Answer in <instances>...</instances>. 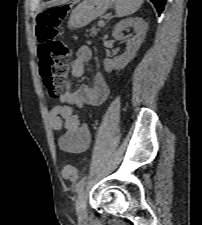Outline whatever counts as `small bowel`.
Returning a JSON list of instances; mask_svg holds the SVG:
<instances>
[{
	"label": "small bowel",
	"instance_id": "c3829d8e",
	"mask_svg": "<svg viewBox=\"0 0 202 225\" xmlns=\"http://www.w3.org/2000/svg\"><path fill=\"white\" fill-rule=\"evenodd\" d=\"M92 58L89 46H81L76 52L72 64L71 79L80 78L85 71V64ZM110 88L100 73H95L92 86L79 85L71 89V81L65 84V90L60 96V104L55 105L49 119L55 131H63L60 138L61 147L68 153H84L90 146V131L86 124L81 123L77 108L85 105L98 106L108 97Z\"/></svg>",
	"mask_w": 202,
	"mask_h": 225
}]
</instances>
